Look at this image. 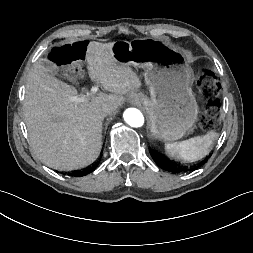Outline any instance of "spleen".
<instances>
[{"mask_svg":"<svg viewBox=\"0 0 253 253\" xmlns=\"http://www.w3.org/2000/svg\"><path fill=\"white\" fill-rule=\"evenodd\" d=\"M217 133L209 131L204 136H196L178 143H166L165 151L169 157L185 161H196L207 156Z\"/></svg>","mask_w":253,"mask_h":253,"instance_id":"1","label":"spleen"}]
</instances>
